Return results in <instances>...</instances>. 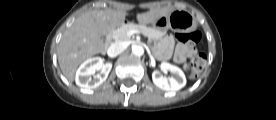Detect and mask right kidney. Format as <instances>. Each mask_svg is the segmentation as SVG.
<instances>
[{"mask_svg": "<svg viewBox=\"0 0 276 120\" xmlns=\"http://www.w3.org/2000/svg\"><path fill=\"white\" fill-rule=\"evenodd\" d=\"M111 68L112 64L103 65L100 57L89 58L78 68L75 76L76 84L86 90L97 88L107 79ZM96 70H100V73L91 78Z\"/></svg>", "mask_w": 276, "mask_h": 120, "instance_id": "1", "label": "right kidney"}]
</instances>
